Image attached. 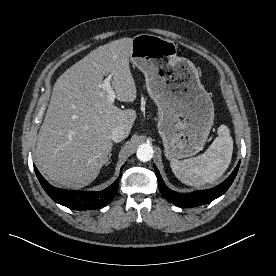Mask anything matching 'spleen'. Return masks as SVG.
I'll list each match as a JSON object with an SVG mask.
<instances>
[{
	"mask_svg": "<svg viewBox=\"0 0 276 276\" xmlns=\"http://www.w3.org/2000/svg\"><path fill=\"white\" fill-rule=\"evenodd\" d=\"M233 152V139L226 125L218 128V136L201 155L185 160H173L170 167L184 184L201 186L216 181L227 170Z\"/></svg>",
	"mask_w": 276,
	"mask_h": 276,
	"instance_id": "spleen-1",
	"label": "spleen"
}]
</instances>
